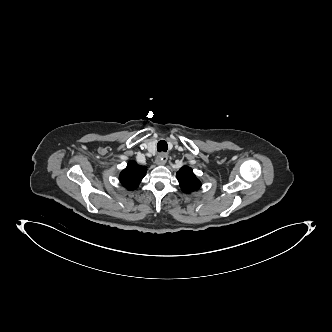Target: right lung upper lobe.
Here are the masks:
<instances>
[{"mask_svg":"<svg viewBox=\"0 0 332 332\" xmlns=\"http://www.w3.org/2000/svg\"><path fill=\"white\" fill-rule=\"evenodd\" d=\"M146 172L147 168L145 166H139L135 161H130L120 173L119 179L125 188L134 190L138 187Z\"/></svg>","mask_w":332,"mask_h":332,"instance_id":"obj_1","label":"right lung upper lobe"}]
</instances>
